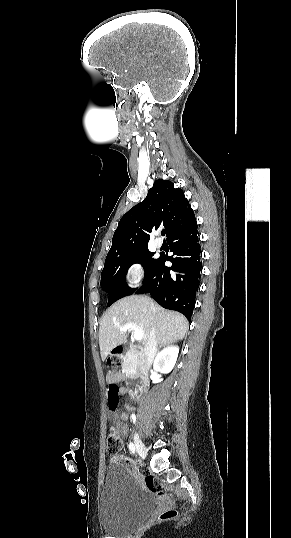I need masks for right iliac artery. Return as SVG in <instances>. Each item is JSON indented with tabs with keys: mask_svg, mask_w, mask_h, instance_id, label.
<instances>
[{
	"mask_svg": "<svg viewBox=\"0 0 291 538\" xmlns=\"http://www.w3.org/2000/svg\"><path fill=\"white\" fill-rule=\"evenodd\" d=\"M129 450H130V452H131L132 454L135 453V446H134V444H133L132 442H130V444H129Z\"/></svg>",
	"mask_w": 291,
	"mask_h": 538,
	"instance_id": "obj_1",
	"label": "right iliac artery"
}]
</instances>
